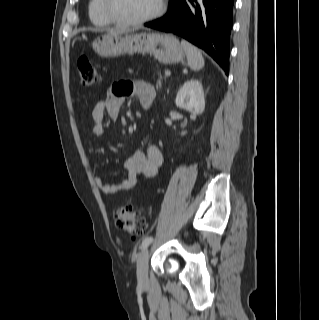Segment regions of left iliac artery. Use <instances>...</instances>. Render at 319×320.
Instances as JSON below:
<instances>
[{
	"instance_id": "1",
	"label": "left iliac artery",
	"mask_w": 319,
	"mask_h": 320,
	"mask_svg": "<svg viewBox=\"0 0 319 320\" xmlns=\"http://www.w3.org/2000/svg\"><path fill=\"white\" fill-rule=\"evenodd\" d=\"M153 241V237L152 236H147L144 238V240L142 241V244H141V249H145L147 248Z\"/></svg>"
}]
</instances>
